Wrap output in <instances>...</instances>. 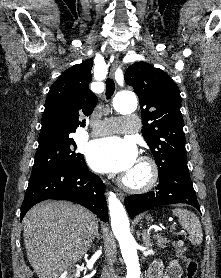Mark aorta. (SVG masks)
Listing matches in <instances>:
<instances>
[{
    "mask_svg": "<svg viewBox=\"0 0 221 278\" xmlns=\"http://www.w3.org/2000/svg\"><path fill=\"white\" fill-rule=\"evenodd\" d=\"M113 106L119 113L135 110L137 100L133 93L122 92L115 96ZM108 207L111 217L112 231L119 242L121 253L127 267L126 278H140V265L136 242L130 233V224L125 208L113 192L109 193Z\"/></svg>",
    "mask_w": 221,
    "mask_h": 278,
    "instance_id": "1",
    "label": "aorta"
}]
</instances>
